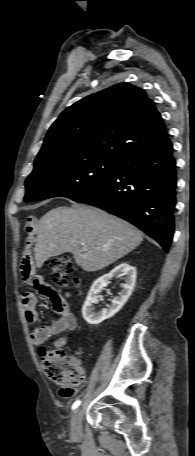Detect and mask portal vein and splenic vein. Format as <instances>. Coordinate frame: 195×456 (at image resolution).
Masks as SVG:
<instances>
[{"instance_id":"obj_1","label":"portal vein and splenic vein","mask_w":195,"mask_h":456,"mask_svg":"<svg viewBox=\"0 0 195 456\" xmlns=\"http://www.w3.org/2000/svg\"><path fill=\"white\" fill-rule=\"evenodd\" d=\"M84 245H85L84 243L81 244V246H84Z\"/></svg>"}]
</instances>
